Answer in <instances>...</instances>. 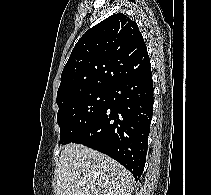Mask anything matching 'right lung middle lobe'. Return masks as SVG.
Masks as SVG:
<instances>
[{"label":"right lung middle lobe","instance_id":"1","mask_svg":"<svg viewBox=\"0 0 211 195\" xmlns=\"http://www.w3.org/2000/svg\"><path fill=\"white\" fill-rule=\"evenodd\" d=\"M110 89H93L74 95L61 103L57 113L60 144L74 142L102 114L110 99Z\"/></svg>","mask_w":211,"mask_h":195}]
</instances>
